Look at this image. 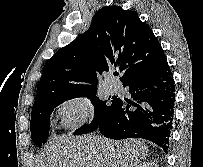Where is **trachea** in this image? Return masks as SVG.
Masks as SVG:
<instances>
[{
	"label": "trachea",
	"mask_w": 203,
	"mask_h": 167,
	"mask_svg": "<svg viewBox=\"0 0 203 167\" xmlns=\"http://www.w3.org/2000/svg\"><path fill=\"white\" fill-rule=\"evenodd\" d=\"M114 75L116 76V75H118V73H117V72H115V73H114Z\"/></svg>",
	"instance_id": "trachea-1"
}]
</instances>
